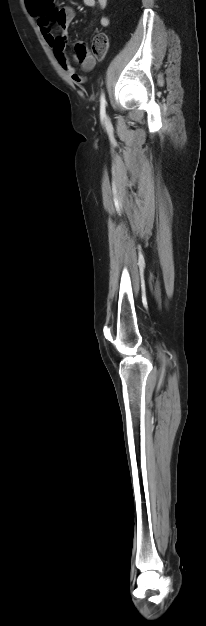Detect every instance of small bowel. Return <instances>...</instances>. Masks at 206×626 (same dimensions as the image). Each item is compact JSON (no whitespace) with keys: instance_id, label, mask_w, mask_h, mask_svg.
I'll return each instance as SVG.
<instances>
[{"instance_id":"1","label":"small bowel","mask_w":206,"mask_h":626,"mask_svg":"<svg viewBox=\"0 0 206 626\" xmlns=\"http://www.w3.org/2000/svg\"><path fill=\"white\" fill-rule=\"evenodd\" d=\"M107 2L108 0H83V3L87 7L98 6L101 9L107 6ZM27 6L31 14L37 18V23L43 37L53 50L60 66L74 82L82 83L83 76L78 74L76 69L71 65L66 52L69 38L65 31L74 19L75 11L69 6L55 8L52 0H27ZM98 22L101 26L106 27L109 25V18L103 15L99 16ZM54 23L62 33L56 32L53 26ZM74 59L80 65L81 69L86 72L92 70L96 64V58L83 41L76 42L74 46Z\"/></svg>"}]
</instances>
